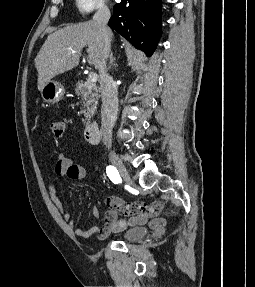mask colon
<instances>
[{"mask_svg":"<svg viewBox=\"0 0 255 287\" xmlns=\"http://www.w3.org/2000/svg\"><path fill=\"white\" fill-rule=\"evenodd\" d=\"M48 128L55 138H61L64 133V124L60 121H51Z\"/></svg>","mask_w":255,"mask_h":287,"instance_id":"colon-1","label":"colon"}]
</instances>
